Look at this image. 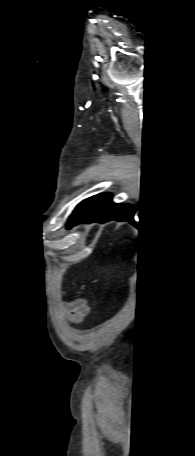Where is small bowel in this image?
Here are the masks:
<instances>
[{"label": "small bowel", "instance_id": "small-bowel-1", "mask_svg": "<svg viewBox=\"0 0 195 456\" xmlns=\"http://www.w3.org/2000/svg\"><path fill=\"white\" fill-rule=\"evenodd\" d=\"M64 312L70 322L78 323L89 313L90 307L84 299H74L64 302Z\"/></svg>", "mask_w": 195, "mask_h": 456}]
</instances>
